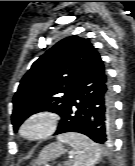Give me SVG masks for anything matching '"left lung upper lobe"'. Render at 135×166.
I'll list each match as a JSON object with an SVG mask.
<instances>
[{"mask_svg":"<svg viewBox=\"0 0 135 166\" xmlns=\"http://www.w3.org/2000/svg\"><path fill=\"white\" fill-rule=\"evenodd\" d=\"M97 53L88 39L70 36L40 56L20 81L13 98L14 130L41 111L61 115L72 100L80 76Z\"/></svg>","mask_w":135,"mask_h":166,"instance_id":"5c2ea615","label":"left lung upper lobe"}]
</instances>
